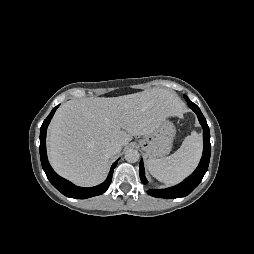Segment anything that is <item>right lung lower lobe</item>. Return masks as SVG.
<instances>
[{
	"mask_svg": "<svg viewBox=\"0 0 254 254\" xmlns=\"http://www.w3.org/2000/svg\"><path fill=\"white\" fill-rule=\"evenodd\" d=\"M59 106V105H58ZM56 106L53 108L51 113L48 115V117L44 120L41 129H40V159H41V164L43 167V170L51 182V184L59 190L63 195L70 197V198H75V199H85L93 196L100 195L104 193L112 180V174L113 170L117 165V161L113 163L111 166L109 175L107 179L100 185L95 186V187H90V188H83V187H78L69 182L68 180L60 177L57 175L54 170L51 168L48 159H47V153H46V131H47V126L50 123L51 118L53 117L56 109L58 108Z\"/></svg>",
	"mask_w": 254,
	"mask_h": 254,
	"instance_id": "1",
	"label": "right lung lower lobe"
}]
</instances>
